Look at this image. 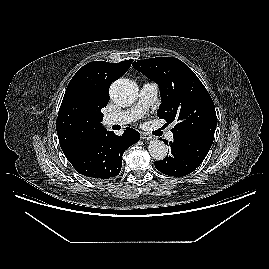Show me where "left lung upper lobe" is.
Masks as SVG:
<instances>
[{
	"label": "left lung upper lobe",
	"mask_w": 269,
	"mask_h": 269,
	"mask_svg": "<svg viewBox=\"0 0 269 269\" xmlns=\"http://www.w3.org/2000/svg\"><path fill=\"white\" fill-rule=\"evenodd\" d=\"M133 67L155 81L161 93L157 111L169 124L174 136L214 138L217 117L214 103L194 72L181 60L158 57L138 60Z\"/></svg>",
	"instance_id": "left-lung-upper-lobe-1"
}]
</instances>
